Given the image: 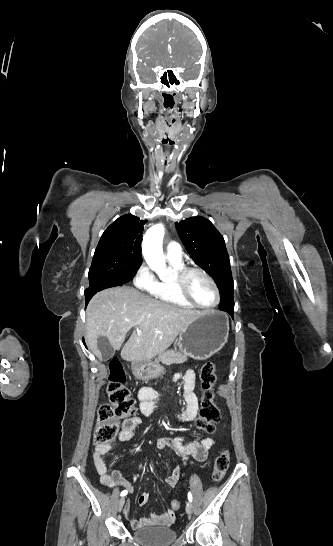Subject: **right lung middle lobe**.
Instances as JSON below:
<instances>
[{"label":"right lung middle lobe","instance_id":"obj_1","mask_svg":"<svg viewBox=\"0 0 333 546\" xmlns=\"http://www.w3.org/2000/svg\"><path fill=\"white\" fill-rule=\"evenodd\" d=\"M139 267L134 265L129 256L124 254L95 253L89 269V282L90 285L103 281L121 286L135 276Z\"/></svg>","mask_w":333,"mask_h":546}]
</instances>
